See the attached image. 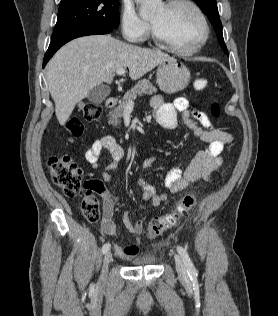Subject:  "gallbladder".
<instances>
[{
	"mask_svg": "<svg viewBox=\"0 0 278 316\" xmlns=\"http://www.w3.org/2000/svg\"><path fill=\"white\" fill-rule=\"evenodd\" d=\"M109 93L110 89L108 86L99 84L90 90L87 98L92 104L99 105L107 98Z\"/></svg>",
	"mask_w": 278,
	"mask_h": 316,
	"instance_id": "1",
	"label": "gallbladder"
}]
</instances>
